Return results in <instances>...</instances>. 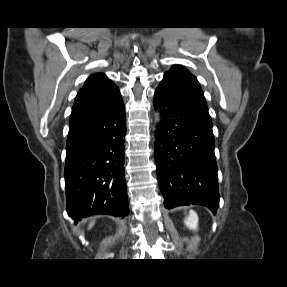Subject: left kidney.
I'll return each instance as SVG.
<instances>
[{
	"mask_svg": "<svg viewBox=\"0 0 287 287\" xmlns=\"http://www.w3.org/2000/svg\"><path fill=\"white\" fill-rule=\"evenodd\" d=\"M184 224L191 230H196L198 227V216L196 212L191 210L189 215L186 217Z\"/></svg>",
	"mask_w": 287,
	"mask_h": 287,
	"instance_id": "obj_1",
	"label": "left kidney"
}]
</instances>
